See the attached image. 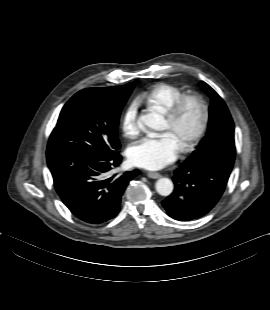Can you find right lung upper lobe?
Here are the masks:
<instances>
[{
    "mask_svg": "<svg viewBox=\"0 0 270 310\" xmlns=\"http://www.w3.org/2000/svg\"><path fill=\"white\" fill-rule=\"evenodd\" d=\"M130 87V83L123 86H114V87H107L109 90L118 93V94H126Z\"/></svg>",
    "mask_w": 270,
    "mask_h": 310,
    "instance_id": "right-lung-upper-lobe-1",
    "label": "right lung upper lobe"
}]
</instances>
